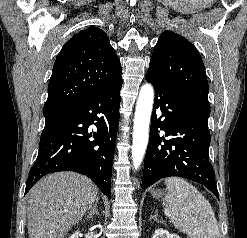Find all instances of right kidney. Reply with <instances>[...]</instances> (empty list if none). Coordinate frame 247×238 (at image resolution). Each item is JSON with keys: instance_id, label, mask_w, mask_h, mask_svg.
Segmentation results:
<instances>
[{"instance_id": "1", "label": "right kidney", "mask_w": 247, "mask_h": 238, "mask_svg": "<svg viewBox=\"0 0 247 238\" xmlns=\"http://www.w3.org/2000/svg\"><path fill=\"white\" fill-rule=\"evenodd\" d=\"M69 238H79L78 237V231H76L74 234H72Z\"/></svg>"}]
</instances>
